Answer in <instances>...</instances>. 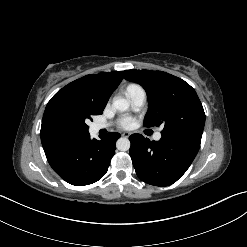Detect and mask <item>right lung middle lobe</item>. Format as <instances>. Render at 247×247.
I'll return each instance as SVG.
<instances>
[{
	"label": "right lung middle lobe",
	"mask_w": 247,
	"mask_h": 247,
	"mask_svg": "<svg viewBox=\"0 0 247 247\" xmlns=\"http://www.w3.org/2000/svg\"><path fill=\"white\" fill-rule=\"evenodd\" d=\"M100 113L83 104H71L58 110L54 117L55 125L65 134L80 135L88 134V120H92L93 115Z\"/></svg>",
	"instance_id": "dd1d6c3e"
}]
</instances>
